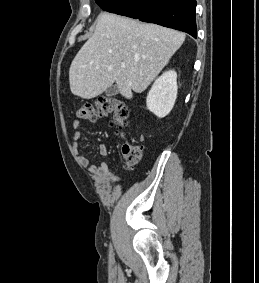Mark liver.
<instances>
[{"label":"liver","mask_w":259,"mask_h":283,"mask_svg":"<svg viewBox=\"0 0 259 283\" xmlns=\"http://www.w3.org/2000/svg\"><path fill=\"white\" fill-rule=\"evenodd\" d=\"M184 40L185 34L174 29L101 13L94 34L71 63V92L92 99L116 82L120 94L131 99L132 91L150 85Z\"/></svg>","instance_id":"6515ba94"}]
</instances>
